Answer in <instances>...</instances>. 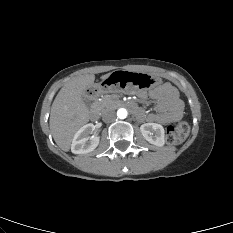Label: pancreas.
Here are the masks:
<instances>
[{
    "instance_id": "obj_1",
    "label": "pancreas",
    "mask_w": 233,
    "mask_h": 233,
    "mask_svg": "<svg viewBox=\"0 0 233 233\" xmlns=\"http://www.w3.org/2000/svg\"><path fill=\"white\" fill-rule=\"evenodd\" d=\"M99 110L104 112L106 110L115 109L119 105V100L116 95H105L96 102Z\"/></svg>"
}]
</instances>
